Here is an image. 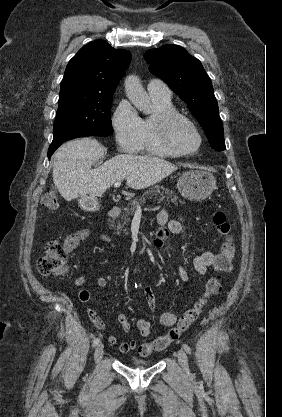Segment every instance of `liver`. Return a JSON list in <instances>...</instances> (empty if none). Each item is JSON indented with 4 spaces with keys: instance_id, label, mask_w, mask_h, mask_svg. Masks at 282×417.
<instances>
[{
    "instance_id": "obj_1",
    "label": "liver",
    "mask_w": 282,
    "mask_h": 417,
    "mask_svg": "<svg viewBox=\"0 0 282 417\" xmlns=\"http://www.w3.org/2000/svg\"><path fill=\"white\" fill-rule=\"evenodd\" d=\"M104 150L95 138H75L58 148L53 162V180L66 200L83 194L102 196L114 182L126 178L131 188H147L160 182L178 166L161 156L117 154L101 166L91 168Z\"/></svg>"
}]
</instances>
